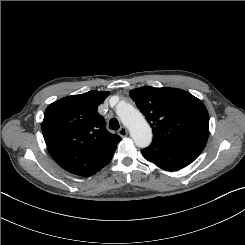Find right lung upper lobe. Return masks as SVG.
Masks as SVG:
<instances>
[{"mask_svg": "<svg viewBox=\"0 0 245 245\" xmlns=\"http://www.w3.org/2000/svg\"><path fill=\"white\" fill-rule=\"evenodd\" d=\"M108 95L89 91L62 98L46 108L43 137L51 157L66 171L90 176L111 161L121 138L107 131L97 112Z\"/></svg>", "mask_w": 245, "mask_h": 245, "instance_id": "obj_1", "label": "right lung upper lobe"}]
</instances>
